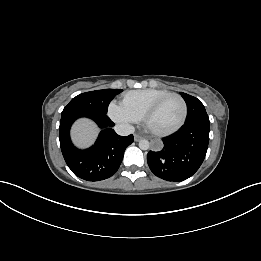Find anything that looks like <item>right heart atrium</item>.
I'll return each mask as SVG.
<instances>
[{
    "mask_svg": "<svg viewBox=\"0 0 261 261\" xmlns=\"http://www.w3.org/2000/svg\"><path fill=\"white\" fill-rule=\"evenodd\" d=\"M108 114L113 121L123 125H131L137 121L121 104L116 102L109 105Z\"/></svg>",
    "mask_w": 261,
    "mask_h": 261,
    "instance_id": "obj_1",
    "label": "right heart atrium"
}]
</instances>
